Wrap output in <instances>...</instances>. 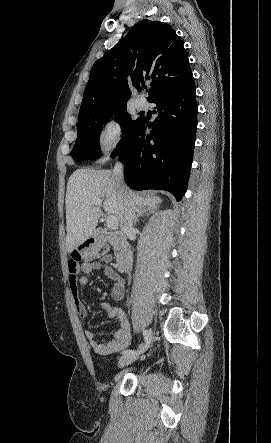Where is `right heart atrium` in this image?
<instances>
[{
  "label": "right heart atrium",
  "instance_id": "1",
  "mask_svg": "<svg viewBox=\"0 0 271 443\" xmlns=\"http://www.w3.org/2000/svg\"><path fill=\"white\" fill-rule=\"evenodd\" d=\"M123 137V125L116 117L105 120L96 138V150L99 156H109L120 144Z\"/></svg>",
  "mask_w": 271,
  "mask_h": 443
}]
</instances>
